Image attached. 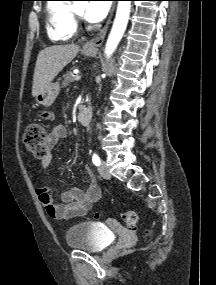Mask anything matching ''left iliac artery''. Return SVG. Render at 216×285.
<instances>
[{
  "mask_svg": "<svg viewBox=\"0 0 216 285\" xmlns=\"http://www.w3.org/2000/svg\"><path fill=\"white\" fill-rule=\"evenodd\" d=\"M92 161L95 166H99L101 164L100 157L96 153L93 154Z\"/></svg>",
  "mask_w": 216,
  "mask_h": 285,
  "instance_id": "44dca946",
  "label": "left iliac artery"
}]
</instances>
